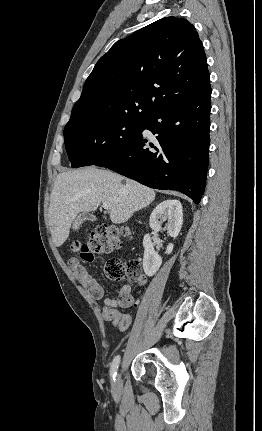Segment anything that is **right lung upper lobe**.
Segmentation results:
<instances>
[{
    "instance_id": "1",
    "label": "right lung upper lobe",
    "mask_w": 262,
    "mask_h": 431,
    "mask_svg": "<svg viewBox=\"0 0 262 431\" xmlns=\"http://www.w3.org/2000/svg\"><path fill=\"white\" fill-rule=\"evenodd\" d=\"M207 85L206 55L195 27L183 18H162L117 41L98 60L66 126L147 118Z\"/></svg>"
}]
</instances>
